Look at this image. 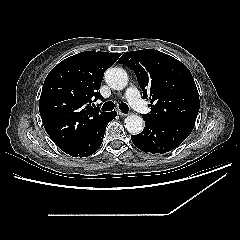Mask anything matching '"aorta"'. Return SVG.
I'll use <instances>...</instances> for the list:
<instances>
[{
    "label": "aorta",
    "mask_w": 240,
    "mask_h": 240,
    "mask_svg": "<svg viewBox=\"0 0 240 240\" xmlns=\"http://www.w3.org/2000/svg\"><path fill=\"white\" fill-rule=\"evenodd\" d=\"M105 81L112 89L122 90L128 84V76L122 68H109L105 72ZM124 122L125 128L132 135L139 134L143 130L144 121L136 114L128 115Z\"/></svg>",
    "instance_id": "obj_1"
}]
</instances>
